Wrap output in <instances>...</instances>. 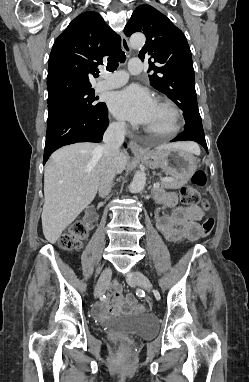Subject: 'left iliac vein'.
Wrapping results in <instances>:
<instances>
[{
    "mask_svg": "<svg viewBox=\"0 0 249 382\" xmlns=\"http://www.w3.org/2000/svg\"><path fill=\"white\" fill-rule=\"evenodd\" d=\"M127 282L130 285L135 283L138 286H140L141 288L145 289L146 291H151V289H152V284H151L150 280L148 279L147 276H145L143 274H138V276L134 277V278H128Z\"/></svg>",
    "mask_w": 249,
    "mask_h": 382,
    "instance_id": "1",
    "label": "left iliac vein"
}]
</instances>
